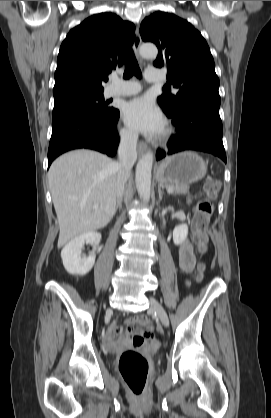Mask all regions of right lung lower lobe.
I'll return each instance as SVG.
<instances>
[{
	"label": "right lung lower lobe",
	"mask_w": 271,
	"mask_h": 418,
	"mask_svg": "<svg viewBox=\"0 0 271 418\" xmlns=\"http://www.w3.org/2000/svg\"><path fill=\"white\" fill-rule=\"evenodd\" d=\"M119 111L71 116L52 123L48 150V167L60 154L73 149L88 148L113 156L119 137Z\"/></svg>",
	"instance_id": "right-lung-lower-lobe-1"
}]
</instances>
